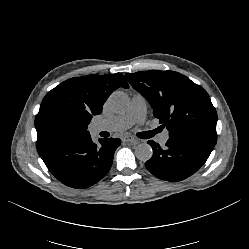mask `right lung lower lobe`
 Segmentation results:
<instances>
[{"instance_id": "right-lung-lower-lobe-1", "label": "right lung lower lobe", "mask_w": 249, "mask_h": 249, "mask_svg": "<svg viewBox=\"0 0 249 249\" xmlns=\"http://www.w3.org/2000/svg\"><path fill=\"white\" fill-rule=\"evenodd\" d=\"M120 144V139L109 138L99 139L97 145L88 133L61 141L39 155L59 181L82 189L94 185L108 173Z\"/></svg>"}]
</instances>
